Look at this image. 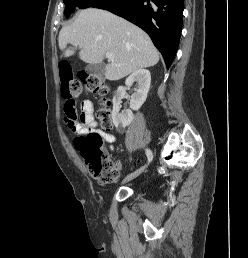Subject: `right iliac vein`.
<instances>
[{"instance_id":"obj_1","label":"right iliac vein","mask_w":248,"mask_h":258,"mask_svg":"<svg viewBox=\"0 0 248 258\" xmlns=\"http://www.w3.org/2000/svg\"><path fill=\"white\" fill-rule=\"evenodd\" d=\"M145 170V167L135 171L134 173L130 174L129 176H127L124 180L123 183L129 182L131 180H133L134 178H136L139 174H141L143 171Z\"/></svg>"}]
</instances>
